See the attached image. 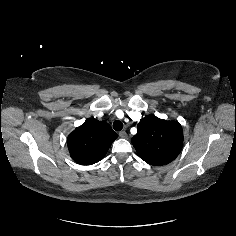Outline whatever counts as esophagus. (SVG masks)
<instances>
[{
	"label": "esophagus",
	"instance_id": "obj_1",
	"mask_svg": "<svg viewBox=\"0 0 236 236\" xmlns=\"http://www.w3.org/2000/svg\"><path fill=\"white\" fill-rule=\"evenodd\" d=\"M119 136H120L121 138H127V137H128V135H127V133H126L125 131L119 132Z\"/></svg>",
	"mask_w": 236,
	"mask_h": 236
}]
</instances>
